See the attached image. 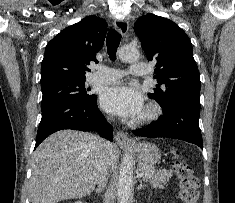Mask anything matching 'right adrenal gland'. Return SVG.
Masks as SVG:
<instances>
[{
    "mask_svg": "<svg viewBox=\"0 0 235 203\" xmlns=\"http://www.w3.org/2000/svg\"><path fill=\"white\" fill-rule=\"evenodd\" d=\"M104 189V187H98V188H96L95 189V192L97 193V194H99V193H101V191Z\"/></svg>",
    "mask_w": 235,
    "mask_h": 203,
    "instance_id": "1",
    "label": "right adrenal gland"
}]
</instances>
